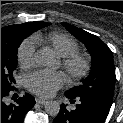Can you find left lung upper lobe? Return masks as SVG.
I'll return each instance as SVG.
<instances>
[{"label": "left lung upper lobe", "mask_w": 123, "mask_h": 123, "mask_svg": "<svg viewBox=\"0 0 123 123\" xmlns=\"http://www.w3.org/2000/svg\"><path fill=\"white\" fill-rule=\"evenodd\" d=\"M66 29L85 44L92 56V69L80 86L68 91L72 96H94L112 101L115 85L113 53L96 35L90 34L68 23Z\"/></svg>", "instance_id": "obj_1"}]
</instances>
